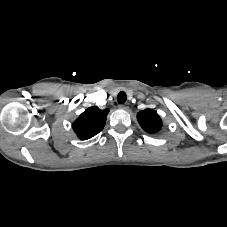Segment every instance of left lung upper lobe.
Wrapping results in <instances>:
<instances>
[{
	"instance_id": "1",
	"label": "left lung upper lobe",
	"mask_w": 227,
	"mask_h": 227,
	"mask_svg": "<svg viewBox=\"0 0 227 227\" xmlns=\"http://www.w3.org/2000/svg\"><path fill=\"white\" fill-rule=\"evenodd\" d=\"M140 126L148 133H156L162 128V120L159 115L151 110L145 109L137 114Z\"/></svg>"
}]
</instances>
